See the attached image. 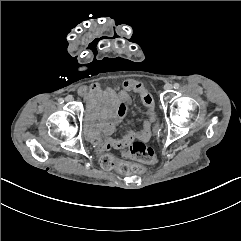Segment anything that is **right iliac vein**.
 I'll use <instances>...</instances> for the list:
<instances>
[{"mask_svg": "<svg viewBox=\"0 0 241 241\" xmlns=\"http://www.w3.org/2000/svg\"><path fill=\"white\" fill-rule=\"evenodd\" d=\"M65 100H66L67 102H71V101H73V98H72L71 96H67V97L65 98Z\"/></svg>", "mask_w": 241, "mask_h": 241, "instance_id": "1", "label": "right iliac vein"}]
</instances>
